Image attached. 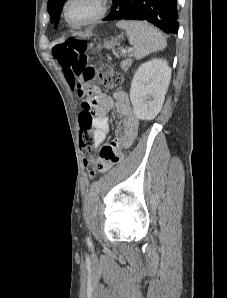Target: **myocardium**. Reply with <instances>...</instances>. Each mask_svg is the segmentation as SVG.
I'll list each match as a JSON object with an SVG mask.
<instances>
[{
	"mask_svg": "<svg viewBox=\"0 0 227 298\" xmlns=\"http://www.w3.org/2000/svg\"><path fill=\"white\" fill-rule=\"evenodd\" d=\"M72 2V0H67L64 6V17L66 19V21L73 27H82V26H86V25H90L93 24L95 22H97L98 20H100L101 18H103L105 16V14L107 13L108 10V5H109V0H97L98 3V11L97 13L92 16L91 18L81 22V23H74L71 21L70 17H69V5Z\"/></svg>",
	"mask_w": 227,
	"mask_h": 298,
	"instance_id": "1",
	"label": "myocardium"
}]
</instances>
